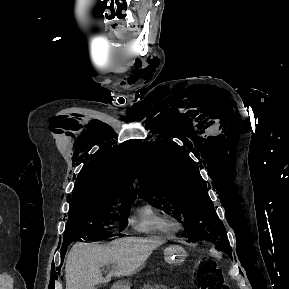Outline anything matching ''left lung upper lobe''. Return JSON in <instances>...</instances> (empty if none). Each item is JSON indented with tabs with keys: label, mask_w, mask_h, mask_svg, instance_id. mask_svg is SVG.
<instances>
[{
	"label": "left lung upper lobe",
	"mask_w": 289,
	"mask_h": 289,
	"mask_svg": "<svg viewBox=\"0 0 289 289\" xmlns=\"http://www.w3.org/2000/svg\"><path fill=\"white\" fill-rule=\"evenodd\" d=\"M137 194L154 207L184 220L190 242L209 241L232 259L226 230L208 196L195 162L184 148L170 139L140 147Z\"/></svg>",
	"instance_id": "obj_1"
}]
</instances>
